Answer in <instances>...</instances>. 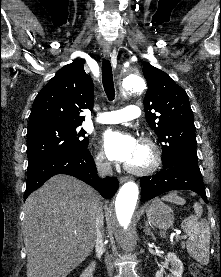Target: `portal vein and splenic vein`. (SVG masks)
<instances>
[{
  "mask_svg": "<svg viewBox=\"0 0 221 277\" xmlns=\"http://www.w3.org/2000/svg\"><path fill=\"white\" fill-rule=\"evenodd\" d=\"M174 235H176L179 239H185V235H181V232H175Z\"/></svg>",
  "mask_w": 221,
  "mask_h": 277,
  "instance_id": "18ae733b",
  "label": "portal vein and splenic vein"
}]
</instances>
